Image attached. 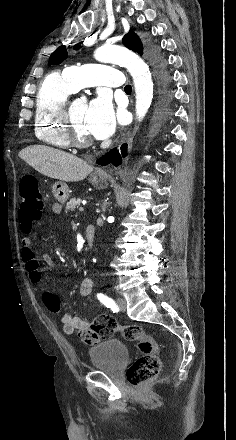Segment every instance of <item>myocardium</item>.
Returning <instances> with one entry per match:
<instances>
[{
  "instance_id": "myocardium-1",
  "label": "myocardium",
  "mask_w": 236,
  "mask_h": 440,
  "mask_svg": "<svg viewBox=\"0 0 236 440\" xmlns=\"http://www.w3.org/2000/svg\"><path fill=\"white\" fill-rule=\"evenodd\" d=\"M73 102L74 99L67 100L61 112L60 118L63 123L64 134L69 144L76 147H88L92 145L93 141L90 137H82L77 132L72 116Z\"/></svg>"
}]
</instances>
